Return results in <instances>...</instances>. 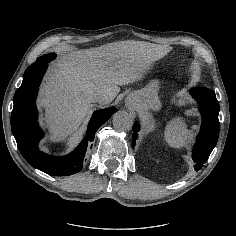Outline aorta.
Returning <instances> with one entry per match:
<instances>
[{"mask_svg": "<svg viewBox=\"0 0 236 236\" xmlns=\"http://www.w3.org/2000/svg\"><path fill=\"white\" fill-rule=\"evenodd\" d=\"M113 126L120 131H129L134 124L133 118L125 111H118L112 117Z\"/></svg>", "mask_w": 236, "mask_h": 236, "instance_id": "1", "label": "aorta"}]
</instances>
